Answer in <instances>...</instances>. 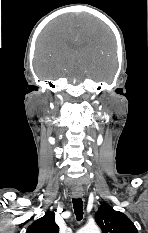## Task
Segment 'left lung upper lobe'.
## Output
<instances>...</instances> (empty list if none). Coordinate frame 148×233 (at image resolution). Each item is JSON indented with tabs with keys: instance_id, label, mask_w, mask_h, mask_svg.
<instances>
[{
	"instance_id": "1",
	"label": "left lung upper lobe",
	"mask_w": 148,
	"mask_h": 233,
	"mask_svg": "<svg viewBox=\"0 0 148 233\" xmlns=\"http://www.w3.org/2000/svg\"><path fill=\"white\" fill-rule=\"evenodd\" d=\"M95 220L102 233H138L132 221L123 213L115 211L108 204L100 206Z\"/></svg>"
}]
</instances>
